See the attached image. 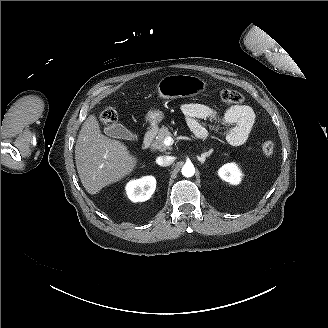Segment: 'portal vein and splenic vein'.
Returning a JSON list of instances; mask_svg holds the SVG:
<instances>
[{"instance_id":"portal-vein-and-splenic-vein-1","label":"portal vein and splenic vein","mask_w":328,"mask_h":328,"mask_svg":"<svg viewBox=\"0 0 328 328\" xmlns=\"http://www.w3.org/2000/svg\"><path fill=\"white\" fill-rule=\"evenodd\" d=\"M164 144L165 145H171V144H173V139L171 137L165 138Z\"/></svg>"}]
</instances>
